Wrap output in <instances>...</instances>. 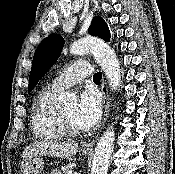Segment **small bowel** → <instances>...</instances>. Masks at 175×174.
<instances>
[{"mask_svg":"<svg viewBox=\"0 0 175 174\" xmlns=\"http://www.w3.org/2000/svg\"><path fill=\"white\" fill-rule=\"evenodd\" d=\"M53 174H61V173H58V172H57V173H53Z\"/></svg>","mask_w":175,"mask_h":174,"instance_id":"obj_1","label":"small bowel"}]
</instances>
